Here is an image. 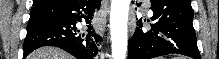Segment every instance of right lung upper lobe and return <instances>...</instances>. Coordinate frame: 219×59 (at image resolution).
Listing matches in <instances>:
<instances>
[{
	"mask_svg": "<svg viewBox=\"0 0 219 59\" xmlns=\"http://www.w3.org/2000/svg\"><path fill=\"white\" fill-rule=\"evenodd\" d=\"M53 1L55 0H34L33 5H37V4L44 3V2H53Z\"/></svg>",
	"mask_w": 219,
	"mask_h": 59,
	"instance_id": "right-lung-upper-lobe-1",
	"label": "right lung upper lobe"
}]
</instances>
